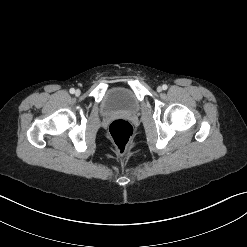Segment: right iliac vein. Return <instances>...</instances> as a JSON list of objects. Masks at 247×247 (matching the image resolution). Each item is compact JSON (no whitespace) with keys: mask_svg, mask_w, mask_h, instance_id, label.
Returning a JSON list of instances; mask_svg holds the SVG:
<instances>
[{"mask_svg":"<svg viewBox=\"0 0 247 247\" xmlns=\"http://www.w3.org/2000/svg\"><path fill=\"white\" fill-rule=\"evenodd\" d=\"M80 93H81V91L78 89V90H76V92H75V94L78 96V95H80Z\"/></svg>","mask_w":247,"mask_h":247,"instance_id":"1","label":"right iliac vein"}]
</instances>
